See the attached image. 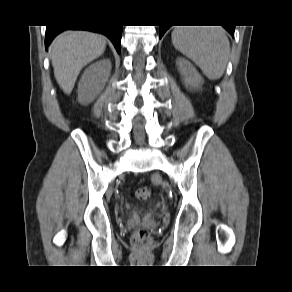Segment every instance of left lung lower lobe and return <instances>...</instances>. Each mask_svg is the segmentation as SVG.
Masks as SVG:
<instances>
[{
    "label": "left lung lower lobe",
    "instance_id": "1",
    "mask_svg": "<svg viewBox=\"0 0 292 292\" xmlns=\"http://www.w3.org/2000/svg\"><path fill=\"white\" fill-rule=\"evenodd\" d=\"M170 26H160V38L163 36V34L166 32V30L169 28ZM232 36H234V29L235 26H224Z\"/></svg>",
    "mask_w": 292,
    "mask_h": 292
}]
</instances>
